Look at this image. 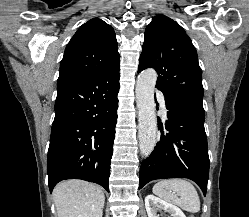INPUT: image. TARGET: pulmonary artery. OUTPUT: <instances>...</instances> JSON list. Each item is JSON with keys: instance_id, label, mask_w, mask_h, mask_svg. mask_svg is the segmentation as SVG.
<instances>
[{"instance_id": "1", "label": "pulmonary artery", "mask_w": 249, "mask_h": 217, "mask_svg": "<svg viewBox=\"0 0 249 217\" xmlns=\"http://www.w3.org/2000/svg\"><path fill=\"white\" fill-rule=\"evenodd\" d=\"M158 98H159L161 106L164 108L165 107V100H164V96H163L162 91L158 92Z\"/></svg>"}]
</instances>
